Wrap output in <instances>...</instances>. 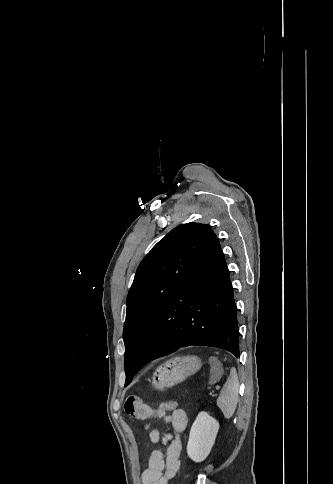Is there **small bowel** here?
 <instances>
[{
  "instance_id": "c3829d8e",
  "label": "small bowel",
  "mask_w": 333,
  "mask_h": 484,
  "mask_svg": "<svg viewBox=\"0 0 333 484\" xmlns=\"http://www.w3.org/2000/svg\"><path fill=\"white\" fill-rule=\"evenodd\" d=\"M125 411L136 419H163L170 426L172 432L162 437L156 429L146 426L151 442L164 444L166 451L164 453L160 448L152 450L141 476L143 484H170L180 468L182 435L188 426L187 414L182 409L157 414L155 408L145 404L138 396L127 398Z\"/></svg>"
}]
</instances>
